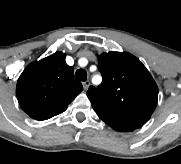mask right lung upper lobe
Masks as SVG:
<instances>
[{"mask_svg": "<svg viewBox=\"0 0 181 164\" xmlns=\"http://www.w3.org/2000/svg\"><path fill=\"white\" fill-rule=\"evenodd\" d=\"M65 57L66 54L56 52L32 62L20 75L16 95L21 108L30 117L42 121L64 112L83 90Z\"/></svg>", "mask_w": 181, "mask_h": 164, "instance_id": "right-lung-upper-lobe-1", "label": "right lung upper lobe"}]
</instances>
